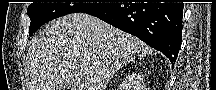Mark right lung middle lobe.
I'll use <instances>...</instances> for the list:
<instances>
[{"label": "right lung middle lobe", "instance_id": "right-lung-middle-lobe-1", "mask_svg": "<svg viewBox=\"0 0 216 90\" xmlns=\"http://www.w3.org/2000/svg\"><path fill=\"white\" fill-rule=\"evenodd\" d=\"M105 3H32L27 9L31 20L29 35L36 32L43 24L55 18L77 12H85Z\"/></svg>", "mask_w": 216, "mask_h": 90}]
</instances>
